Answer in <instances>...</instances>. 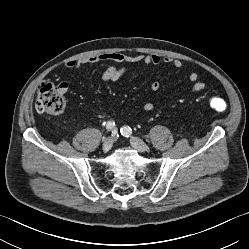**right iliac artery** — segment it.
<instances>
[{"instance_id": "82829eb1", "label": "right iliac artery", "mask_w": 249, "mask_h": 249, "mask_svg": "<svg viewBox=\"0 0 249 249\" xmlns=\"http://www.w3.org/2000/svg\"><path fill=\"white\" fill-rule=\"evenodd\" d=\"M114 128H115V122H113V121H108L107 124H106V129H107L108 131H110V130H112V129H114Z\"/></svg>"}]
</instances>
